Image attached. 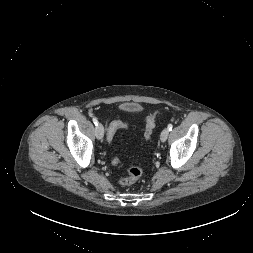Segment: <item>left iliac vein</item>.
I'll list each match as a JSON object with an SVG mask.
<instances>
[{"label":"left iliac vein","mask_w":253,"mask_h":253,"mask_svg":"<svg viewBox=\"0 0 253 253\" xmlns=\"http://www.w3.org/2000/svg\"><path fill=\"white\" fill-rule=\"evenodd\" d=\"M168 135H169L168 128L163 129V131L161 132V135H160L161 141L165 142L167 140V138H168Z\"/></svg>","instance_id":"1"}]
</instances>
